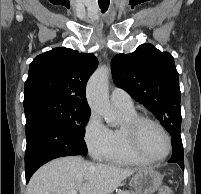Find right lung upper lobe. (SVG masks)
<instances>
[{
    "label": "right lung upper lobe",
    "mask_w": 201,
    "mask_h": 194,
    "mask_svg": "<svg viewBox=\"0 0 201 194\" xmlns=\"http://www.w3.org/2000/svg\"><path fill=\"white\" fill-rule=\"evenodd\" d=\"M97 64L93 54L69 48H55L37 56L29 67L24 104L53 97L90 112L85 95L86 83Z\"/></svg>",
    "instance_id": "right-lung-upper-lobe-1"
}]
</instances>
